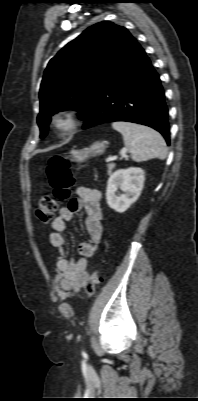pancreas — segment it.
Listing matches in <instances>:
<instances>
[{
    "instance_id": "cf45deb5",
    "label": "pancreas",
    "mask_w": 198,
    "mask_h": 401,
    "mask_svg": "<svg viewBox=\"0 0 198 401\" xmlns=\"http://www.w3.org/2000/svg\"><path fill=\"white\" fill-rule=\"evenodd\" d=\"M107 167H108V174L110 175L112 173V170L114 169L115 165L110 163L107 165Z\"/></svg>"
}]
</instances>
